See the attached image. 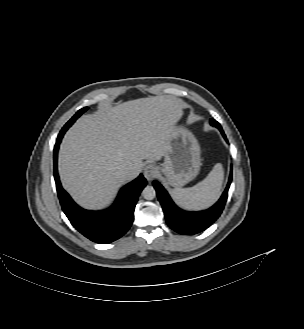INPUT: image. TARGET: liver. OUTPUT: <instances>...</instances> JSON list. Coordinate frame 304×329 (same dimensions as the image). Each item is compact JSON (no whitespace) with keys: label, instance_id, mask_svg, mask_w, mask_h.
I'll use <instances>...</instances> for the list:
<instances>
[{"label":"liver","instance_id":"obj_1","mask_svg":"<svg viewBox=\"0 0 304 329\" xmlns=\"http://www.w3.org/2000/svg\"><path fill=\"white\" fill-rule=\"evenodd\" d=\"M182 115L181 100L162 95L103 106L82 116L60 145L63 187L84 208L108 206L118 188L139 174L144 159L165 156ZM123 165L132 168L126 177L119 172Z\"/></svg>","mask_w":304,"mask_h":329}]
</instances>
